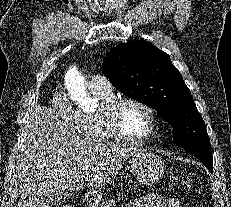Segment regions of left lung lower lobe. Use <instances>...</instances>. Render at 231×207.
<instances>
[{"mask_svg":"<svg viewBox=\"0 0 231 207\" xmlns=\"http://www.w3.org/2000/svg\"><path fill=\"white\" fill-rule=\"evenodd\" d=\"M211 172H213V159L210 160V159H206V158H202V157H199V156H196Z\"/></svg>","mask_w":231,"mask_h":207,"instance_id":"obj_1","label":"left lung lower lobe"}]
</instances>
